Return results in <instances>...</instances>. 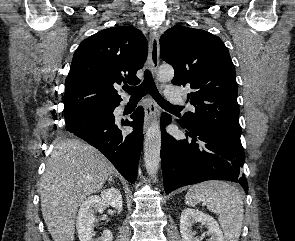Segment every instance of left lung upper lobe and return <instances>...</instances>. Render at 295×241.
<instances>
[{
  "instance_id": "1",
  "label": "left lung upper lobe",
  "mask_w": 295,
  "mask_h": 241,
  "mask_svg": "<svg viewBox=\"0 0 295 241\" xmlns=\"http://www.w3.org/2000/svg\"><path fill=\"white\" fill-rule=\"evenodd\" d=\"M161 58L175 70L172 84H190L187 95L195 112L181 122L240 137L235 67L221 39L207 31L184 26L168 29L160 38Z\"/></svg>"
}]
</instances>
